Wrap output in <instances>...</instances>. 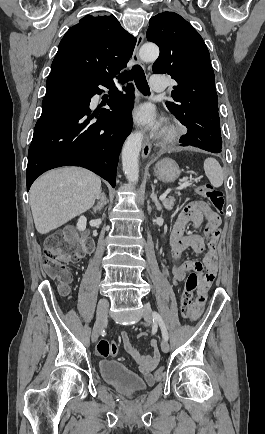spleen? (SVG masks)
Listing matches in <instances>:
<instances>
[{
	"label": "spleen",
	"mask_w": 265,
	"mask_h": 434,
	"mask_svg": "<svg viewBox=\"0 0 265 434\" xmlns=\"http://www.w3.org/2000/svg\"><path fill=\"white\" fill-rule=\"evenodd\" d=\"M204 172L214 188L223 184V170L214 158H207L203 164Z\"/></svg>",
	"instance_id": "spleen-1"
}]
</instances>
